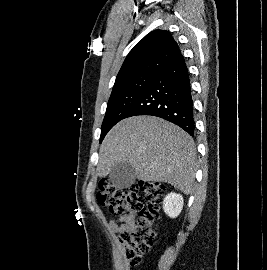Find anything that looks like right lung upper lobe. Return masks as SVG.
I'll return each instance as SVG.
<instances>
[{"label": "right lung upper lobe", "mask_w": 267, "mask_h": 270, "mask_svg": "<svg viewBox=\"0 0 267 270\" xmlns=\"http://www.w3.org/2000/svg\"><path fill=\"white\" fill-rule=\"evenodd\" d=\"M180 53L171 34L154 30L140 40L127 55L114 86L137 76L155 75Z\"/></svg>", "instance_id": "right-lung-upper-lobe-1"}]
</instances>
